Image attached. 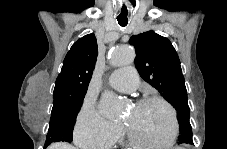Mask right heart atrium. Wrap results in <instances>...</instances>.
<instances>
[{"instance_id": "1", "label": "right heart atrium", "mask_w": 227, "mask_h": 149, "mask_svg": "<svg viewBox=\"0 0 227 149\" xmlns=\"http://www.w3.org/2000/svg\"><path fill=\"white\" fill-rule=\"evenodd\" d=\"M122 134V125L99 113L92 102L84 100L77 116L74 136L81 146L101 149L116 143Z\"/></svg>"}]
</instances>
